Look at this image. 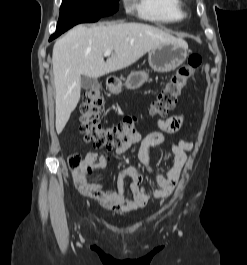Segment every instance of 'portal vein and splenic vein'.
Instances as JSON below:
<instances>
[{
	"instance_id": "portal-vein-and-splenic-vein-1",
	"label": "portal vein and splenic vein",
	"mask_w": 247,
	"mask_h": 265,
	"mask_svg": "<svg viewBox=\"0 0 247 265\" xmlns=\"http://www.w3.org/2000/svg\"><path fill=\"white\" fill-rule=\"evenodd\" d=\"M112 54V50L111 49H107L105 52H104V56H110Z\"/></svg>"
}]
</instances>
